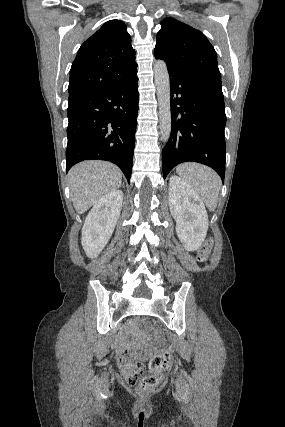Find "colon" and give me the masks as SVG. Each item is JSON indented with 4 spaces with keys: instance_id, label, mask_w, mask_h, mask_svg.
I'll return each instance as SVG.
<instances>
[{
    "instance_id": "5ec220e1",
    "label": "colon",
    "mask_w": 285,
    "mask_h": 427,
    "mask_svg": "<svg viewBox=\"0 0 285 427\" xmlns=\"http://www.w3.org/2000/svg\"><path fill=\"white\" fill-rule=\"evenodd\" d=\"M213 247V241L208 239L204 242L198 252V260L200 262H206L211 253ZM125 353L129 356H134L135 352L131 348H126ZM171 356L166 350H159L149 361V374H144V366L140 361L132 363L134 370V376L129 378V385L136 391L142 393H151L156 390L159 385L158 374L168 368L170 364ZM140 376V379L137 378Z\"/></svg>"
}]
</instances>
